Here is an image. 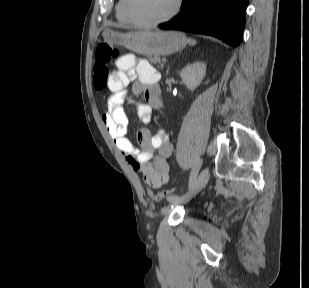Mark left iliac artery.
<instances>
[{
	"label": "left iliac artery",
	"mask_w": 309,
	"mask_h": 288,
	"mask_svg": "<svg viewBox=\"0 0 309 288\" xmlns=\"http://www.w3.org/2000/svg\"><path fill=\"white\" fill-rule=\"evenodd\" d=\"M201 164H202V160H198V162L195 164L194 168L191 171V174H190V177H189V191L193 188V186L196 182V177H197L198 172L200 170ZM187 194H188V192H187ZM187 194H185L183 196H171V197L168 198V201L177 199L179 197H184Z\"/></svg>",
	"instance_id": "44dca946"
}]
</instances>
